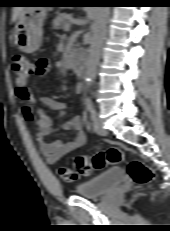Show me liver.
Masks as SVG:
<instances>
[{"instance_id": "6515ba94", "label": "liver", "mask_w": 170, "mask_h": 231, "mask_svg": "<svg viewBox=\"0 0 170 231\" xmlns=\"http://www.w3.org/2000/svg\"><path fill=\"white\" fill-rule=\"evenodd\" d=\"M27 7H14L13 14H12V22L17 21L20 14L26 9Z\"/></svg>"}]
</instances>
